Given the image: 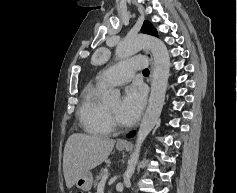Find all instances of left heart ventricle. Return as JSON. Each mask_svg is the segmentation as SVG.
<instances>
[{
  "mask_svg": "<svg viewBox=\"0 0 237 193\" xmlns=\"http://www.w3.org/2000/svg\"><path fill=\"white\" fill-rule=\"evenodd\" d=\"M120 103H113L110 105H107V109L110 111V113L116 118V120L119 123H122L120 118H119V110H120Z\"/></svg>",
  "mask_w": 237,
  "mask_h": 193,
  "instance_id": "1",
  "label": "left heart ventricle"
}]
</instances>
